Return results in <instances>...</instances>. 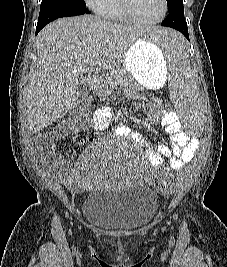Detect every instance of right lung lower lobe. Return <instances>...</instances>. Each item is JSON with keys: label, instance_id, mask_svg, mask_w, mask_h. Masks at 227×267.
I'll return each instance as SVG.
<instances>
[{"label": "right lung lower lobe", "instance_id": "obj_1", "mask_svg": "<svg viewBox=\"0 0 227 267\" xmlns=\"http://www.w3.org/2000/svg\"><path fill=\"white\" fill-rule=\"evenodd\" d=\"M90 13L87 8L84 9H55V10H40L39 20L36 27V35L38 32L49 22L54 21L61 17H70Z\"/></svg>", "mask_w": 227, "mask_h": 267}]
</instances>
